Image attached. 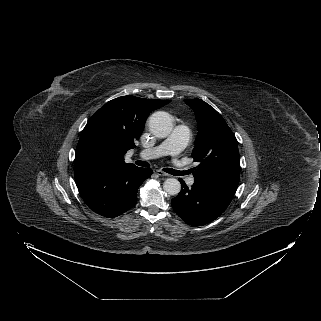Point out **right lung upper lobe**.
Here are the masks:
<instances>
[{"instance_id": "cb5924a9", "label": "right lung upper lobe", "mask_w": 321, "mask_h": 321, "mask_svg": "<svg viewBox=\"0 0 321 321\" xmlns=\"http://www.w3.org/2000/svg\"><path fill=\"white\" fill-rule=\"evenodd\" d=\"M171 100H152L123 96L107 102L88 121L78 144L88 141L101 143L108 151L105 163L94 169H84L74 164L75 179L103 168L136 167L124 162V155L135 147L146 116L168 104Z\"/></svg>"}]
</instances>
